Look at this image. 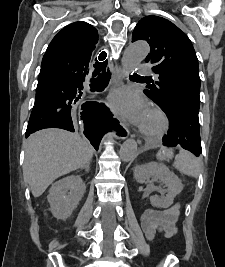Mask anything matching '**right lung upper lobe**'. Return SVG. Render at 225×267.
Wrapping results in <instances>:
<instances>
[{"label":"right lung upper lobe","mask_w":225,"mask_h":267,"mask_svg":"<svg viewBox=\"0 0 225 267\" xmlns=\"http://www.w3.org/2000/svg\"><path fill=\"white\" fill-rule=\"evenodd\" d=\"M98 42L96 28L86 22H74L64 27L51 41L47 50H70L86 53L90 57ZM97 59H95L96 61ZM96 66L104 67L106 63L95 62Z\"/></svg>","instance_id":"obj_1"}]
</instances>
